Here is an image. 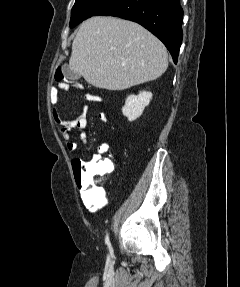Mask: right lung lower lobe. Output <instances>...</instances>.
<instances>
[{
	"instance_id": "1",
	"label": "right lung lower lobe",
	"mask_w": 240,
	"mask_h": 287,
	"mask_svg": "<svg viewBox=\"0 0 240 287\" xmlns=\"http://www.w3.org/2000/svg\"><path fill=\"white\" fill-rule=\"evenodd\" d=\"M115 16L139 23L169 50L174 63L183 38L179 0H107L93 15Z\"/></svg>"
}]
</instances>
